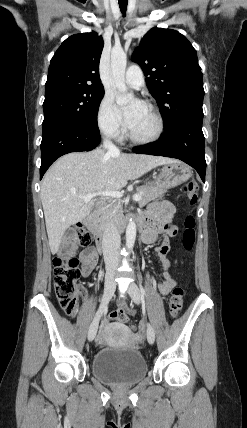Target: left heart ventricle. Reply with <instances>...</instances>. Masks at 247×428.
<instances>
[{"instance_id": "left-heart-ventricle-1", "label": "left heart ventricle", "mask_w": 247, "mask_h": 428, "mask_svg": "<svg viewBox=\"0 0 247 428\" xmlns=\"http://www.w3.org/2000/svg\"><path fill=\"white\" fill-rule=\"evenodd\" d=\"M157 128V123L152 112L145 106L134 123L129 127L131 132L140 138L152 136Z\"/></svg>"}]
</instances>
